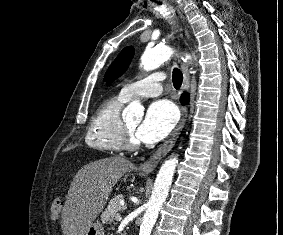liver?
Returning a JSON list of instances; mask_svg holds the SVG:
<instances>
[{
    "label": "liver",
    "instance_id": "6515ba94",
    "mask_svg": "<svg viewBox=\"0 0 283 235\" xmlns=\"http://www.w3.org/2000/svg\"><path fill=\"white\" fill-rule=\"evenodd\" d=\"M135 168L129 160L114 156L83 166L71 182L61 216L63 235H85L103 210L114 185Z\"/></svg>",
    "mask_w": 283,
    "mask_h": 235
}]
</instances>
